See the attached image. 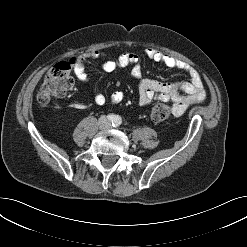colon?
Returning a JSON list of instances; mask_svg holds the SVG:
<instances>
[{
	"label": "colon",
	"instance_id": "colon-1",
	"mask_svg": "<svg viewBox=\"0 0 247 247\" xmlns=\"http://www.w3.org/2000/svg\"><path fill=\"white\" fill-rule=\"evenodd\" d=\"M84 62V58L80 57L53 66L38 91L39 104L46 105L53 99L65 97L74 85L72 68L83 66ZM172 111V107L168 104H157L151 111V119L154 122L165 121L171 116Z\"/></svg>",
	"mask_w": 247,
	"mask_h": 247
}]
</instances>
